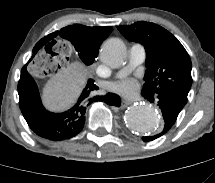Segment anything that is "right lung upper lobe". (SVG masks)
<instances>
[{
    "instance_id": "cb5924a9",
    "label": "right lung upper lobe",
    "mask_w": 215,
    "mask_h": 183,
    "mask_svg": "<svg viewBox=\"0 0 215 183\" xmlns=\"http://www.w3.org/2000/svg\"><path fill=\"white\" fill-rule=\"evenodd\" d=\"M80 26L83 31L82 41L86 50L97 57L99 47L103 40L106 39L111 33L112 27H86L84 25ZM73 29H75V26L70 25L61 29L60 31H56L44 37L35 45L33 54L35 55L43 46H45V48L52 46L56 42L55 38L57 36L66 39L70 31Z\"/></svg>"
}]
</instances>
